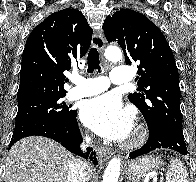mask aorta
<instances>
[{
  "label": "aorta",
  "mask_w": 196,
  "mask_h": 182,
  "mask_svg": "<svg viewBox=\"0 0 196 182\" xmlns=\"http://www.w3.org/2000/svg\"><path fill=\"white\" fill-rule=\"evenodd\" d=\"M105 57L112 62H117L122 58V52L117 47H108L105 50ZM120 166L121 161L120 158L114 157L112 158L107 168L104 172L103 181L102 182H118V178L120 175Z\"/></svg>",
  "instance_id": "obj_1"
}]
</instances>
